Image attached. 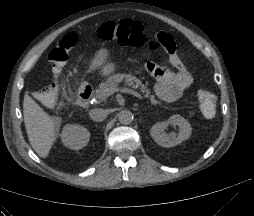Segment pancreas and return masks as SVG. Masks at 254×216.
<instances>
[{
  "label": "pancreas",
  "instance_id": "pancreas-1",
  "mask_svg": "<svg viewBox=\"0 0 254 216\" xmlns=\"http://www.w3.org/2000/svg\"><path fill=\"white\" fill-rule=\"evenodd\" d=\"M121 82H124L125 84H127L132 88L139 89L140 92L144 94V97L150 99L152 104L161 105V102L156 100L155 96L151 94V91L147 88L146 85L142 83L141 80L129 74H116L113 76H109L105 82H102L99 85V89H97L95 92V97L98 100V102L106 100L107 97L109 96L107 90L116 89L118 87V84Z\"/></svg>",
  "mask_w": 254,
  "mask_h": 216
}]
</instances>
